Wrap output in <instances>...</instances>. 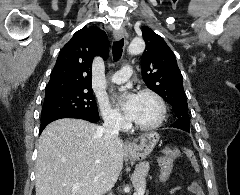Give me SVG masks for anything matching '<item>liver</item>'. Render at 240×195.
<instances>
[{
  "label": "liver",
  "instance_id": "liver-1",
  "mask_svg": "<svg viewBox=\"0 0 240 195\" xmlns=\"http://www.w3.org/2000/svg\"><path fill=\"white\" fill-rule=\"evenodd\" d=\"M98 125L85 119H56L39 137L36 195H101L115 185L123 167L121 139L101 141ZM72 183H79L73 191Z\"/></svg>",
  "mask_w": 240,
  "mask_h": 195
}]
</instances>
